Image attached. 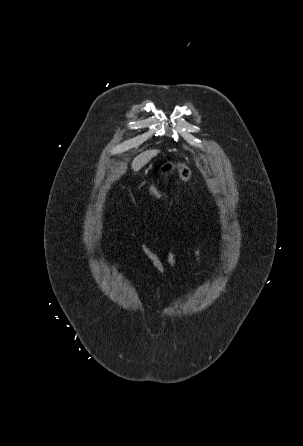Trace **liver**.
Instances as JSON below:
<instances>
[{"label":"liver","mask_w":303,"mask_h":446,"mask_svg":"<svg viewBox=\"0 0 303 446\" xmlns=\"http://www.w3.org/2000/svg\"><path fill=\"white\" fill-rule=\"evenodd\" d=\"M157 153H158L157 150H150V151H145V152L139 154L132 161V164H131L132 169L135 172L139 171L145 164H147L149 162V160L151 158L156 156Z\"/></svg>","instance_id":"6515ba94"}]
</instances>
